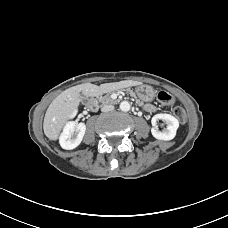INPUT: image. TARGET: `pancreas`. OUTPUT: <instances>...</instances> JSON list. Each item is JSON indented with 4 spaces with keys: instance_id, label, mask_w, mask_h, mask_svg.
Here are the masks:
<instances>
[{
    "instance_id": "obj_1",
    "label": "pancreas",
    "mask_w": 228,
    "mask_h": 228,
    "mask_svg": "<svg viewBox=\"0 0 228 228\" xmlns=\"http://www.w3.org/2000/svg\"><path fill=\"white\" fill-rule=\"evenodd\" d=\"M118 92H121V91H127L131 96H133L136 100V102H137V104L140 106V107H144L145 106V103L144 102H142L141 100H138V98H137V96L134 94V92L131 90V89H129V88H121V89H118L117 90ZM113 93L112 92H110L109 94H106L105 96H101L100 98H99V101L102 103V104H114V103H116V101L115 100H113L110 96L112 95Z\"/></svg>"
}]
</instances>
